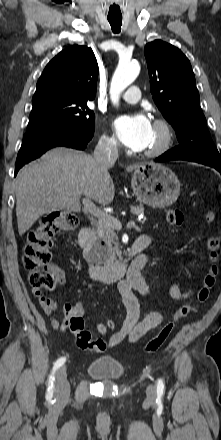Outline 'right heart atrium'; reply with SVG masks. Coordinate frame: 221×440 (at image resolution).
Instances as JSON below:
<instances>
[{
    "mask_svg": "<svg viewBox=\"0 0 221 440\" xmlns=\"http://www.w3.org/2000/svg\"><path fill=\"white\" fill-rule=\"evenodd\" d=\"M99 144L105 151L116 152L119 148V142L115 135L104 132L99 140Z\"/></svg>",
    "mask_w": 221,
    "mask_h": 440,
    "instance_id": "right-heart-atrium-1",
    "label": "right heart atrium"
}]
</instances>
